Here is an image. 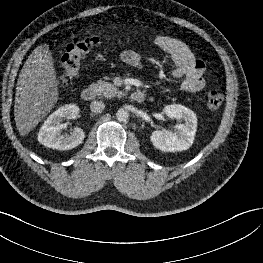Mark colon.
Instances as JSON below:
<instances>
[{"label":"colon","mask_w":263,"mask_h":263,"mask_svg":"<svg viewBox=\"0 0 263 263\" xmlns=\"http://www.w3.org/2000/svg\"><path fill=\"white\" fill-rule=\"evenodd\" d=\"M99 42L100 38L97 36L75 37L71 40L62 56V75L59 80L61 86H66L79 72L85 55ZM223 100L224 96L220 91L211 90L207 95V106L211 110H216L222 105Z\"/></svg>","instance_id":"1"}]
</instances>
